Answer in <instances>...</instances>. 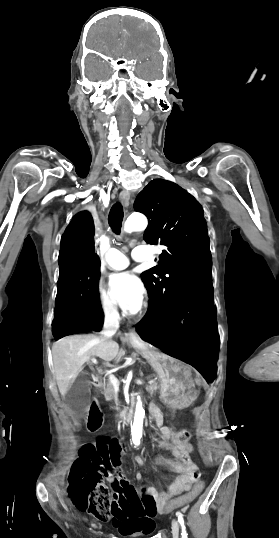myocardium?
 Here are the masks:
<instances>
[{
  "label": "myocardium",
  "instance_id": "1",
  "mask_svg": "<svg viewBox=\"0 0 279 538\" xmlns=\"http://www.w3.org/2000/svg\"><path fill=\"white\" fill-rule=\"evenodd\" d=\"M138 312H141V310L139 309L136 313H138Z\"/></svg>",
  "mask_w": 279,
  "mask_h": 538
}]
</instances>
